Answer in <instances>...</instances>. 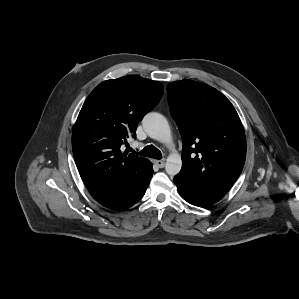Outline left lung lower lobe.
I'll return each mask as SVG.
<instances>
[{"label": "left lung lower lobe", "mask_w": 299, "mask_h": 299, "mask_svg": "<svg viewBox=\"0 0 299 299\" xmlns=\"http://www.w3.org/2000/svg\"><path fill=\"white\" fill-rule=\"evenodd\" d=\"M174 182L181 197L195 206L204 207L212 205L222 199L225 195L224 193L203 187L182 178L178 174L174 177Z\"/></svg>", "instance_id": "1"}]
</instances>
